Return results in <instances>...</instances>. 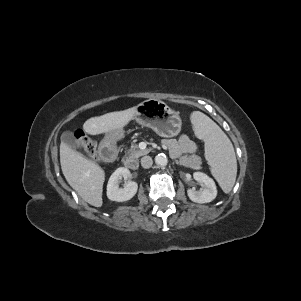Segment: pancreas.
Segmentation results:
<instances>
[{"label":"pancreas","mask_w":301,"mask_h":301,"mask_svg":"<svg viewBox=\"0 0 301 301\" xmlns=\"http://www.w3.org/2000/svg\"><path fill=\"white\" fill-rule=\"evenodd\" d=\"M148 152H149L148 149L140 150L136 144H131L130 149L126 152V158L130 160H134L143 155H146ZM179 163L185 167L193 168L201 164V158L197 155H192L189 157L184 156L180 159Z\"/></svg>","instance_id":"pancreas-1"}]
</instances>
